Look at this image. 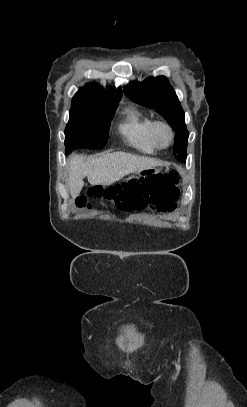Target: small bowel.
I'll list each match as a JSON object with an SVG mask.
<instances>
[{
  "label": "small bowel",
  "instance_id": "c3829d8e",
  "mask_svg": "<svg viewBox=\"0 0 247 407\" xmlns=\"http://www.w3.org/2000/svg\"><path fill=\"white\" fill-rule=\"evenodd\" d=\"M175 209L176 202L173 203L157 202V203H148L142 210L148 211L150 213L156 212L160 214H166L174 211Z\"/></svg>",
  "mask_w": 247,
  "mask_h": 407
}]
</instances>
